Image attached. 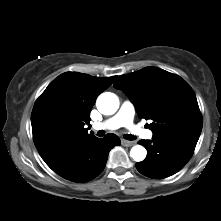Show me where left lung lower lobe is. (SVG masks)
<instances>
[{
	"mask_svg": "<svg viewBox=\"0 0 221 221\" xmlns=\"http://www.w3.org/2000/svg\"><path fill=\"white\" fill-rule=\"evenodd\" d=\"M199 136L174 135L152 140H140L148 151L144 161L136 163L137 170L143 175L161 179L178 172L191 158Z\"/></svg>",
	"mask_w": 221,
	"mask_h": 221,
	"instance_id": "obj_1",
	"label": "left lung lower lobe"
}]
</instances>
